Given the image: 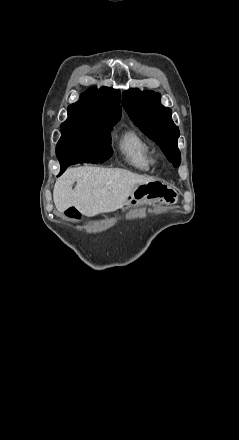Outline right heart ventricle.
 <instances>
[{
    "instance_id": "e07e8e85",
    "label": "right heart ventricle",
    "mask_w": 239,
    "mask_h": 440,
    "mask_svg": "<svg viewBox=\"0 0 239 440\" xmlns=\"http://www.w3.org/2000/svg\"><path fill=\"white\" fill-rule=\"evenodd\" d=\"M116 148L130 167L142 172L154 169L156 160L153 150L139 133L135 131L122 133L116 139Z\"/></svg>"
}]
</instances>
